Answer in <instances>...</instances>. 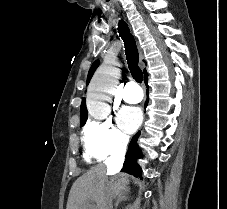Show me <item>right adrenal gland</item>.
<instances>
[{
	"instance_id": "2a0ac1e0",
	"label": "right adrenal gland",
	"mask_w": 227,
	"mask_h": 209,
	"mask_svg": "<svg viewBox=\"0 0 227 209\" xmlns=\"http://www.w3.org/2000/svg\"><path fill=\"white\" fill-rule=\"evenodd\" d=\"M128 193H124V195H118L117 199H116V203H115V207L117 209L119 203H121V201H127V199H129V197H127Z\"/></svg>"
}]
</instances>
